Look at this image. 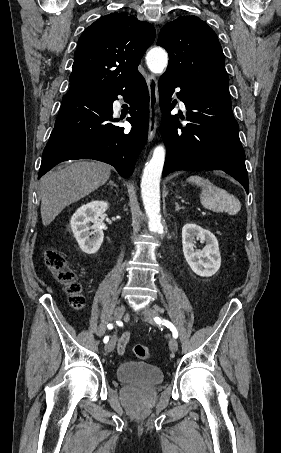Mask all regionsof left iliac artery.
I'll list each match as a JSON object with an SVG mask.
<instances>
[{
  "label": "left iliac artery",
  "instance_id": "left-iliac-artery-1",
  "mask_svg": "<svg viewBox=\"0 0 281 453\" xmlns=\"http://www.w3.org/2000/svg\"><path fill=\"white\" fill-rule=\"evenodd\" d=\"M154 320H155V322H156L157 324L162 323V324L165 325L167 328H169V329L172 331L173 337H174V338H177V337H178L177 329L175 328V326H174L171 322H169V321H167V320H164V319L161 320L159 317H155Z\"/></svg>",
  "mask_w": 281,
  "mask_h": 453
}]
</instances>
